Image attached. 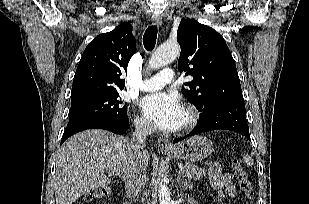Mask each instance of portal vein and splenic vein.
<instances>
[{
    "label": "portal vein and splenic vein",
    "mask_w": 309,
    "mask_h": 204,
    "mask_svg": "<svg viewBox=\"0 0 309 204\" xmlns=\"http://www.w3.org/2000/svg\"><path fill=\"white\" fill-rule=\"evenodd\" d=\"M183 173V168L179 169V174Z\"/></svg>",
    "instance_id": "1"
}]
</instances>
